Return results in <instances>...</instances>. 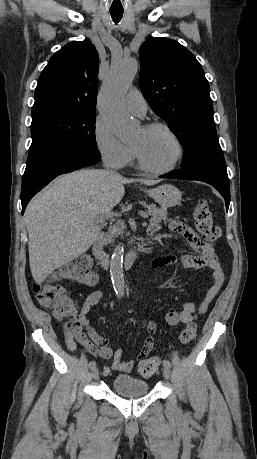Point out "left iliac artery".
Here are the masks:
<instances>
[{
  "label": "left iliac artery",
  "mask_w": 257,
  "mask_h": 459,
  "mask_svg": "<svg viewBox=\"0 0 257 459\" xmlns=\"http://www.w3.org/2000/svg\"><path fill=\"white\" fill-rule=\"evenodd\" d=\"M163 366H164V367L171 368V363H170V361L167 360V359H164V360H163Z\"/></svg>",
  "instance_id": "left-iliac-artery-1"
}]
</instances>
